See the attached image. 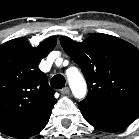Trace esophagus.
I'll return each instance as SVG.
<instances>
[{
    "instance_id": "esophagus-1",
    "label": "esophagus",
    "mask_w": 139,
    "mask_h": 139,
    "mask_svg": "<svg viewBox=\"0 0 139 139\" xmlns=\"http://www.w3.org/2000/svg\"><path fill=\"white\" fill-rule=\"evenodd\" d=\"M70 89L68 87H64L60 90V93L63 95L69 94Z\"/></svg>"
}]
</instances>
